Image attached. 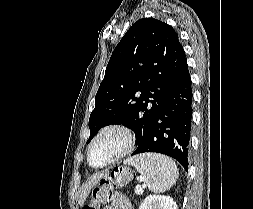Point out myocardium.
<instances>
[{
  "label": "myocardium",
  "mask_w": 253,
  "mask_h": 209,
  "mask_svg": "<svg viewBox=\"0 0 253 209\" xmlns=\"http://www.w3.org/2000/svg\"><path fill=\"white\" fill-rule=\"evenodd\" d=\"M112 130L120 131L124 135L125 143H124L123 148L116 155H114L111 159H109L105 163L98 165V166L93 165L91 163V149H92L94 143L104 133H106L108 131H112ZM134 145H135V135H134L132 128L129 125H127L126 123H123V122L108 123L99 129V131L94 135L91 142L89 143L88 148H87V162H88L89 166H91L92 168H95V169L107 167V166L115 163L116 161L120 160L124 156H126L129 152H131Z\"/></svg>",
  "instance_id": "myocardium-1"
}]
</instances>
